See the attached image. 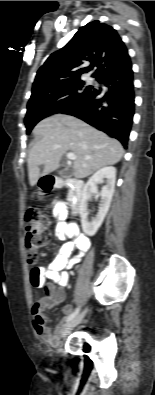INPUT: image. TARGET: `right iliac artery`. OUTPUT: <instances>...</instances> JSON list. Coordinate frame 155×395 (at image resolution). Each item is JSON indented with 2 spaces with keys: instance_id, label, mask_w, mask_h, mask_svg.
Masks as SVG:
<instances>
[{
  "instance_id": "right-iliac-artery-1",
  "label": "right iliac artery",
  "mask_w": 155,
  "mask_h": 395,
  "mask_svg": "<svg viewBox=\"0 0 155 395\" xmlns=\"http://www.w3.org/2000/svg\"><path fill=\"white\" fill-rule=\"evenodd\" d=\"M80 308L78 307L74 312H72L66 319L67 322H69L70 320H72L74 317L77 316V314L79 313Z\"/></svg>"
}]
</instances>
